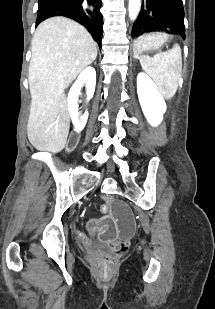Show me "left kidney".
<instances>
[{
	"label": "left kidney",
	"instance_id": "left-kidney-1",
	"mask_svg": "<svg viewBox=\"0 0 215 309\" xmlns=\"http://www.w3.org/2000/svg\"><path fill=\"white\" fill-rule=\"evenodd\" d=\"M141 86H144L145 94H142ZM137 92L141 108L149 124L158 126L163 120V114L166 112L167 106L154 82L145 72H139L137 76Z\"/></svg>",
	"mask_w": 215,
	"mask_h": 309
}]
</instances>
